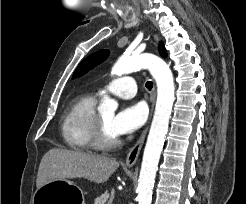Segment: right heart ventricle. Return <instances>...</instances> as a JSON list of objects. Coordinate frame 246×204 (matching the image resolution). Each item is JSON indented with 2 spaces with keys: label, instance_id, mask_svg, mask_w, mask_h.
<instances>
[{
  "label": "right heart ventricle",
  "instance_id": "right-heart-ventricle-1",
  "mask_svg": "<svg viewBox=\"0 0 246 204\" xmlns=\"http://www.w3.org/2000/svg\"><path fill=\"white\" fill-rule=\"evenodd\" d=\"M95 111V98L81 95L73 99L62 119V137L65 144L77 151L92 149L91 131Z\"/></svg>",
  "mask_w": 246,
  "mask_h": 204
}]
</instances>
